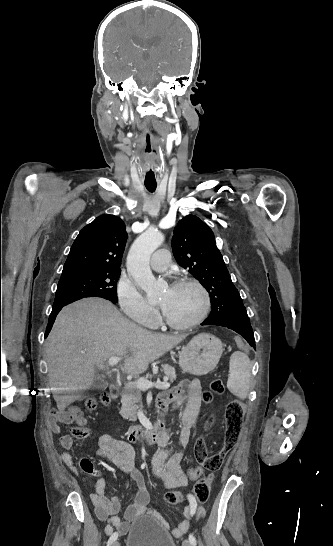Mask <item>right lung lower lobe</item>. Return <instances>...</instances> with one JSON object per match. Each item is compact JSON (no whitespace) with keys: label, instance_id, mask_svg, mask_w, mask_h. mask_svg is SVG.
Instances as JSON below:
<instances>
[{"label":"right lung lower lobe","instance_id":"right-lung-lower-lobe-1","mask_svg":"<svg viewBox=\"0 0 333 546\" xmlns=\"http://www.w3.org/2000/svg\"><path fill=\"white\" fill-rule=\"evenodd\" d=\"M62 307L63 306L53 307L52 312H51V314L49 316L48 325H47L46 333H45V338L49 334V332H50V330L52 328V325H53V323L55 321V318H56L57 314L59 313V311L62 309Z\"/></svg>","mask_w":333,"mask_h":546}]
</instances>
